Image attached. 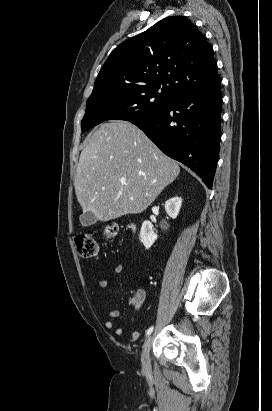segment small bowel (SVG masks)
<instances>
[{"mask_svg":"<svg viewBox=\"0 0 272 411\" xmlns=\"http://www.w3.org/2000/svg\"><path fill=\"white\" fill-rule=\"evenodd\" d=\"M124 266L123 265H117L114 268V274L119 275L124 272ZM109 282L107 280H102L99 283L100 288L103 291H107L109 289ZM144 301V297L140 296L139 297V302L135 304V309L137 312H140L142 309V304ZM121 313L118 310L112 309L109 311V317L111 320H108L105 324L106 328L110 331H112L115 335L120 336L124 333V329L122 327L117 326V324L114 322V319L120 318ZM131 338L132 340L136 341L139 340L140 338V332L137 330H134L131 332Z\"/></svg>","mask_w":272,"mask_h":411,"instance_id":"small-bowel-1","label":"small bowel"}]
</instances>
